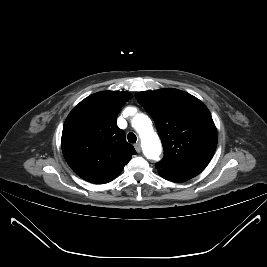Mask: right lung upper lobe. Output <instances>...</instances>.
Listing matches in <instances>:
<instances>
[{
  "instance_id": "1",
  "label": "right lung upper lobe",
  "mask_w": 267,
  "mask_h": 267,
  "mask_svg": "<svg viewBox=\"0 0 267 267\" xmlns=\"http://www.w3.org/2000/svg\"><path fill=\"white\" fill-rule=\"evenodd\" d=\"M131 98L128 92H98L82 100L66 118L62 151L82 179L96 184L110 182L136 154L116 124L121 107Z\"/></svg>"
}]
</instances>
